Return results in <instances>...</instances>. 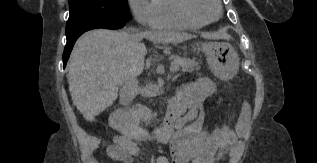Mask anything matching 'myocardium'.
<instances>
[{"label": "myocardium", "mask_w": 317, "mask_h": 163, "mask_svg": "<svg viewBox=\"0 0 317 163\" xmlns=\"http://www.w3.org/2000/svg\"><path fill=\"white\" fill-rule=\"evenodd\" d=\"M216 9H217V16L213 19H207L203 17L202 15L198 14L194 9H193V0H178L177 2V7L179 10V13L183 18H185L188 21H192L195 23H199L202 25L210 24L222 16V6L220 3V0H212Z\"/></svg>", "instance_id": "myocardium-1"}]
</instances>
